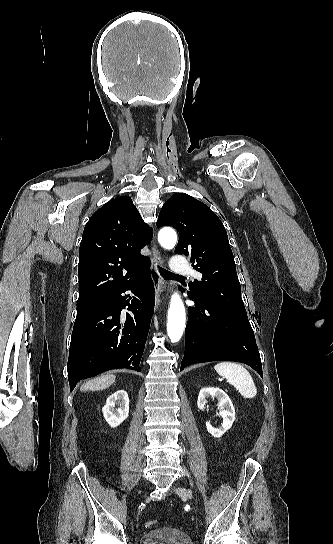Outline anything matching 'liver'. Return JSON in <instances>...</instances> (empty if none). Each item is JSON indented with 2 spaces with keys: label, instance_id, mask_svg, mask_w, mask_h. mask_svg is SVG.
<instances>
[{
  "label": "liver",
  "instance_id": "6515ba94",
  "mask_svg": "<svg viewBox=\"0 0 333 544\" xmlns=\"http://www.w3.org/2000/svg\"><path fill=\"white\" fill-rule=\"evenodd\" d=\"M115 379L116 377L113 374L102 375L84 384L81 390L82 391L103 390L108 388L111 384H113L115 382Z\"/></svg>",
  "mask_w": 333,
  "mask_h": 544
}]
</instances>
